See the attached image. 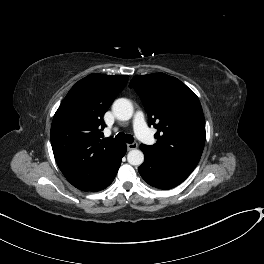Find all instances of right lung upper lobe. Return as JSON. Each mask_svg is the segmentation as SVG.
<instances>
[{
  "mask_svg": "<svg viewBox=\"0 0 264 264\" xmlns=\"http://www.w3.org/2000/svg\"><path fill=\"white\" fill-rule=\"evenodd\" d=\"M127 75L90 74L78 81L51 125L54 157L66 179L88 191L103 183L121 160L123 143L102 139L103 115L127 84Z\"/></svg>",
  "mask_w": 264,
  "mask_h": 264,
  "instance_id": "cb5924a9",
  "label": "right lung upper lobe"
}]
</instances>
